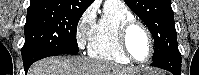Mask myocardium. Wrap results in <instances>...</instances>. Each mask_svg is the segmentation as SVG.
Segmentation results:
<instances>
[{
    "label": "myocardium",
    "mask_w": 199,
    "mask_h": 75,
    "mask_svg": "<svg viewBox=\"0 0 199 75\" xmlns=\"http://www.w3.org/2000/svg\"><path fill=\"white\" fill-rule=\"evenodd\" d=\"M134 27H140L145 32L149 41V45H150L149 54L147 58H145L142 61L135 59L128 48V34L130 30ZM118 40H119V44L122 51L124 52L126 57L133 63L146 64L150 61V59L152 58L154 54L155 46H154V40H153L152 34L149 28L143 22H141L140 20L136 18H131L121 24L118 30Z\"/></svg>",
    "instance_id": "obj_1"
}]
</instances>
